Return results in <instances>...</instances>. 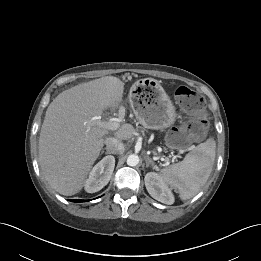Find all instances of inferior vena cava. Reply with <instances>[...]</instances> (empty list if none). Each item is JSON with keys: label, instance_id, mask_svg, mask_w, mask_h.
Masks as SVG:
<instances>
[{"label": "inferior vena cava", "instance_id": "obj_1", "mask_svg": "<svg viewBox=\"0 0 261 261\" xmlns=\"http://www.w3.org/2000/svg\"><path fill=\"white\" fill-rule=\"evenodd\" d=\"M107 151L110 154H123L125 151L124 144L117 138L109 137L104 141Z\"/></svg>", "mask_w": 261, "mask_h": 261}]
</instances>
